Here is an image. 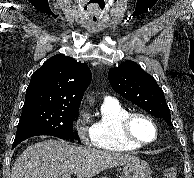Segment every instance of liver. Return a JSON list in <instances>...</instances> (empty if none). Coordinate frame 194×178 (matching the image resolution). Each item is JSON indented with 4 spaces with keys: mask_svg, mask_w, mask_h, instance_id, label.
I'll use <instances>...</instances> for the list:
<instances>
[{
    "mask_svg": "<svg viewBox=\"0 0 194 178\" xmlns=\"http://www.w3.org/2000/svg\"><path fill=\"white\" fill-rule=\"evenodd\" d=\"M137 160L129 154L78 147L50 139L28 146L16 159L11 178H60L72 173L77 178H91L105 169Z\"/></svg>",
    "mask_w": 194,
    "mask_h": 178,
    "instance_id": "obj_1",
    "label": "liver"
}]
</instances>
